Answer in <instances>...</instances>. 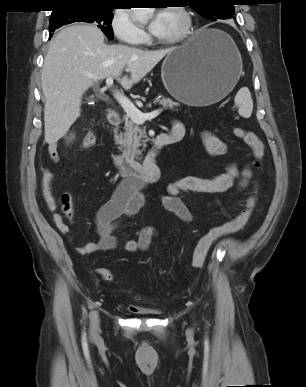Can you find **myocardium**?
I'll return each mask as SVG.
<instances>
[{"mask_svg":"<svg viewBox=\"0 0 306 387\" xmlns=\"http://www.w3.org/2000/svg\"><path fill=\"white\" fill-rule=\"evenodd\" d=\"M165 10H170L178 13L182 20V26L180 31L175 35L165 39L156 38V42H158L159 44L170 45L184 41L191 33L193 25V18L191 13L184 6H171L166 8Z\"/></svg>","mask_w":306,"mask_h":387,"instance_id":"f54148a6","label":"myocardium"}]
</instances>
